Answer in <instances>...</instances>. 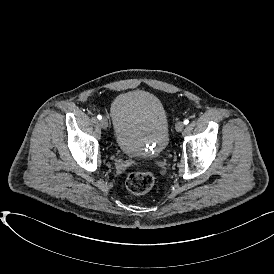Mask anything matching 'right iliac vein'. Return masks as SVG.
Here are the masks:
<instances>
[{
    "label": "right iliac vein",
    "instance_id": "63e3f726",
    "mask_svg": "<svg viewBox=\"0 0 274 274\" xmlns=\"http://www.w3.org/2000/svg\"><path fill=\"white\" fill-rule=\"evenodd\" d=\"M100 125L103 129H107L108 127V120L106 118L101 119Z\"/></svg>",
    "mask_w": 274,
    "mask_h": 274
}]
</instances>
